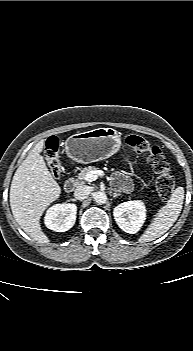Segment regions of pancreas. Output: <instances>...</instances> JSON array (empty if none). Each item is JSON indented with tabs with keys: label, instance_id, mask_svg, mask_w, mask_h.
I'll return each instance as SVG.
<instances>
[{
	"label": "pancreas",
	"instance_id": "obj_1",
	"mask_svg": "<svg viewBox=\"0 0 193 351\" xmlns=\"http://www.w3.org/2000/svg\"><path fill=\"white\" fill-rule=\"evenodd\" d=\"M98 170V168L94 167V166H88L85 167L81 170V172L78 174L77 176V180L79 182H83V180H85L86 174L89 173L90 171H95Z\"/></svg>",
	"mask_w": 193,
	"mask_h": 351
}]
</instances>
